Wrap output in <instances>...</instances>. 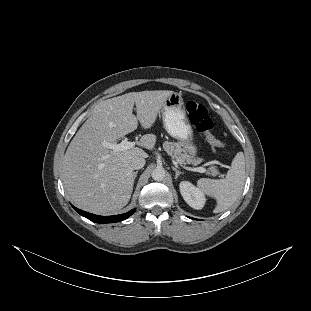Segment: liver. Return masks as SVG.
I'll return each instance as SVG.
<instances>
[{"label":"liver","instance_id":"6515ba94","mask_svg":"<svg viewBox=\"0 0 311 311\" xmlns=\"http://www.w3.org/2000/svg\"><path fill=\"white\" fill-rule=\"evenodd\" d=\"M174 91L129 92L101 101L70 142L62 162L63 184L77 207L100 215L125 207L133 190L135 157L148 158L139 147L113 152L104 142L135 131L138 124L151 128L166 99ZM134 105L136 115L133 114ZM157 137L145 134L139 145L152 150Z\"/></svg>","mask_w":311,"mask_h":311}]
</instances>
